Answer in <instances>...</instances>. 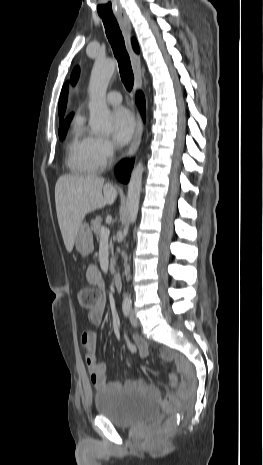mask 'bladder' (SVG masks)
<instances>
[{
	"label": "bladder",
	"mask_w": 263,
	"mask_h": 465,
	"mask_svg": "<svg viewBox=\"0 0 263 465\" xmlns=\"http://www.w3.org/2000/svg\"><path fill=\"white\" fill-rule=\"evenodd\" d=\"M94 406L99 415L122 428L146 423L158 414L156 403L144 394L110 386L95 394Z\"/></svg>",
	"instance_id": "1"
}]
</instances>
